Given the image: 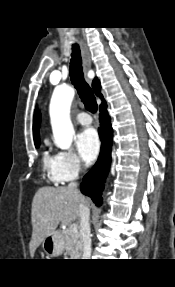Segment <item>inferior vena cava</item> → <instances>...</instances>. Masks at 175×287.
I'll use <instances>...</instances> for the list:
<instances>
[{"instance_id": "1", "label": "inferior vena cava", "mask_w": 175, "mask_h": 287, "mask_svg": "<svg viewBox=\"0 0 175 287\" xmlns=\"http://www.w3.org/2000/svg\"><path fill=\"white\" fill-rule=\"evenodd\" d=\"M77 182H70L68 189L77 190ZM80 238L83 244V257L82 259H90L91 256V238H90V224L89 216L90 211L87 205L80 204Z\"/></svg>"}]
</instances>
